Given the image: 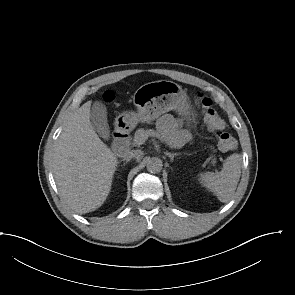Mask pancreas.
I'll list each match as a JSON object with an SVG mask.
<instances>
[{"instance_id":"obj_1","label":"pancreas","mask_w":295,"mask_h":295,"mask_svg":"<svg viewBox=\"0 0 295 295\" xmlns=\"http://www.w3.org/2000/svg\"><path fill=\"white\" fill-rule=\"evenodd\" d=\"M150 132V130H145L143 128H140L138 130H136L135 134H134V138H133V145L134 146H139L141 144H143L144 142L141 140L142 135L143 134H148ZM165 141L170 144L171 143V139L169 136H167L166 134L163 135Z\"/></svg>"}]
</instances>
